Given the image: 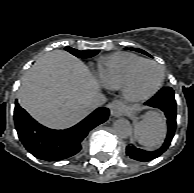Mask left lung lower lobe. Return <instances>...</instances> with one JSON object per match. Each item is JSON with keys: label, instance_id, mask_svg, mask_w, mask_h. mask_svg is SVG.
<instances>
[{"label": "left lung lower lobe", "instance_id": "1", "mask_svg": "<svg viewBox=\"0 0 194 193\" xmlns=\"http://www.w3.org/2000/svg\"><path fill=\"white\" fill-rule=\"evenodd\" d=\"M145 105L158 108L164 112L168 123V133L164 144L156 151H144L142 149L136 148L134 145H128L126 147V155L131 159L141 162L153 160L164 153L169 147L176 129V101L172 88H162L153 98L148 100Z\"/></svg>", "mask_w": 194, "mask_h": 193}]
</instances>
